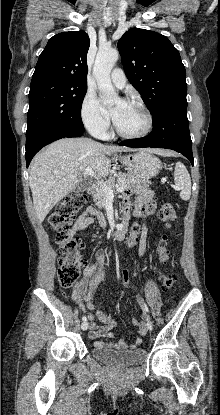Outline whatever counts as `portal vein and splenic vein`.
<instances>
[{
  "label": "portal vein and splenic vein",
  "instance_id": "18ae733b",
  "mask_svg": "<svg viewBox=\"0 0 220 415\" xmlns=\"http://www.w3.org/2000/svg\"><path fill=\"white\" fill-rule=\"evenodd\" d=\"M83 174L84 175H89L91 177H94L96 180H98V182L101 184V186H102V188H103V190L105 192L106 197H114V191H113V189L109 185H107L106 182L100 180V178L95 175V173L93 172V170L91 169V167H87L85 169V171H83ZM116 187H117L116 188V192L117 193H121V192L124 191V188L122 186L117 185Z\"/></svg>",
  "mask_w": 220,
  "mask_h": 415
}]
</instances>
